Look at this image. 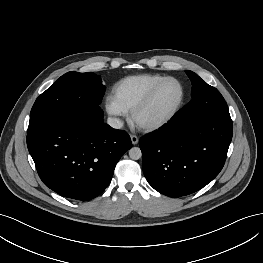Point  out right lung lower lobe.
<instances>
[{"label": "right lung lower lobe", "instance_id": "obj_1", "mask_svg": "<svg viewBox=\"0 0 263 263\" xmlns=\"http://www.w3.org/2000/svg\"><path fill=\"white\" fill-rule=\"evenodd\" d=\"M27 146L47 187L87 201L109 185L117 162L132 143L125 131L103 123L99 106H90L27 133Z\"/></svg>", "mask_w": 263, "mask_h": 263}]
</instances>
